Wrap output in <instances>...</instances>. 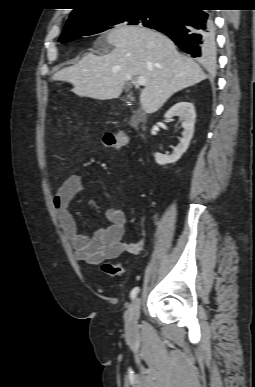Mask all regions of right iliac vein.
Here are the masks:
<instances>
[{"instance_id":"obj_1","label":"right iliac vein","mask_w":255,"mask_h":387,"mask_svg":"<svg viewBox=\"0 0 255 387\" xmlns=\"http://www.w3.org/2000/svg\"><path fill=\"white\" fill-rule=\"evenodd\" d=\"M140 314V298L136 297L125 313V329L129 337L135 336L138 330V319Z\"/></svg>"}]
</instances>
